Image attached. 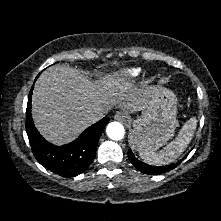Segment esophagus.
Listing matches in <instances>:
<instances>
[{"label": "esophagus", "mask_w": 221, "mask_h": 221, "mask_svg": "<svg viewBox=\"0 0 221 221\" xmlns=\"http://www.w3.org/2000/svg\"><path fill=\"white\" fill-rule=\"evenodd\" d=\"M114 119L120 122H126L127 116L124 112L119 111L115 114Z\"/></svg>", "instance_id": "1"}]
</instances>
